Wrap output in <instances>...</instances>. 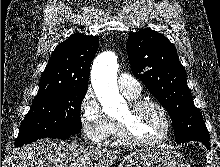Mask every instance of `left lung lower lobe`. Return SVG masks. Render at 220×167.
I'll return each instance as SVG.
<instances>
[{"label":"left lung lower lobe","mask_w":220,"mask_h":167,"mask_svg":"<svg viewBox=\"0 0 220 167\" xmlns=\"http://www.w3.org/2000/svg\"><path fill=\"white\" fill-rule=\"evenodd\" d=\"M192 141L202 142L208 149H210L209 140L197 139V140H192ZM182 142H186V141H180V142H176V143L179 144V143H182Z\"/></svg>","instance_id":"1"}]
</instances>
